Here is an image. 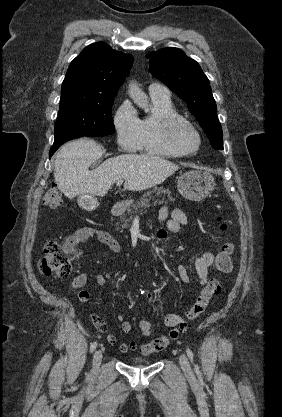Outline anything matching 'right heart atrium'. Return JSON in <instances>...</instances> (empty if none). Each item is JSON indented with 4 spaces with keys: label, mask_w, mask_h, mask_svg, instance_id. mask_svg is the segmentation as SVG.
Returning a JSON list of instances; mask_svg holds the SVG:
<instances>
[{
    "label": "right heart atrium",
    "mask_w": 282,
    "mask_h": 417,
    "mask_svg": "<svg viewBox=\"0 0 282 417\" xmlns=\"http://www.w3.org/2000/svg\"><path fill=\"white\" fill-rule=\"evenodd\" d=\"M119 145L126 151H136L141 148V133L138 117L134 114L129 103L124 102L114 117Z\"/></svg>",
    "instance_id": "right-heart-atrium-1"
}]
</instances>
